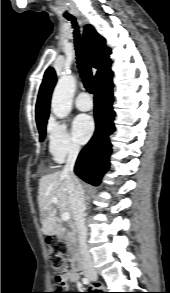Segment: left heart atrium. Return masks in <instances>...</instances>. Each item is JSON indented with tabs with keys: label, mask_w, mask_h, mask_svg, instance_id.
Here are the masks:
<instances>
[{
	"label": "left heart atrium",
	"mask_w": 170,
	"mask_h": 293,
	"mask_svg": "<svg viewBox=\"0 0 170 293\" xmlns=\"http://www.w3.org/2000/svg\"><path fill=\"white\" fill-rule=\"evenodd\" d=\"M95 129L94 121L91 116L80 114L75 117L72 123V133L75 140L80 143H86L92 136Z\"/></svg>",
	"instance_id": "obj_1"
}]
</instances>
